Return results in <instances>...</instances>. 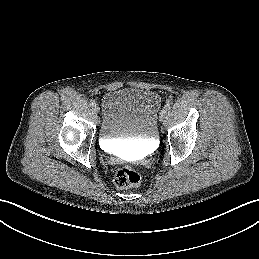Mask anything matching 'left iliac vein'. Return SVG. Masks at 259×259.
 Listing matches in <instances>:
<instances>
[{"mask_svg":"<svg viewBox=\"0 0 259 259\" xmlns=\"http://www.w3.org/2000/svg\"><path fill=\"white\" fill-rule=\"evenodd\" d=\"M166 117H167V110L166 109H162L160 114H159V120L160 121H164Z\"/></svg>","mask_w":259,"mask_h":259,"instance_id":"1","label":"left iliac vein"}]
</instances>
